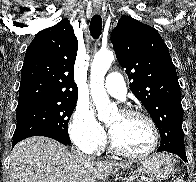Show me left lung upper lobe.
<instances>
[{
  "label": "left lung upper lobe",
  "instance_id": "left-lung-upper-lobe-1",
  "mask_svg": "<svg viewBox=\"0 0 196 182\" xmlns=\"http://www.w3.org/2000/svg\"><path fill=\"white\" fill-rule=\"evenodd\" d=\"M130 89L155 122L161 136L158 149H185L183 109L175 66L160 34L149 25L122 16L111 33Z\"/></svg>",
  "mask_w": 196,
  "mask_h": 182
}]
</instances>
